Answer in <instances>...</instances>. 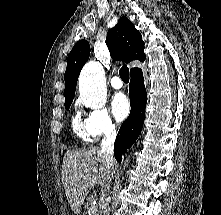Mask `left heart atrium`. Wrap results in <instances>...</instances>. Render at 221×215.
Wrapping results in <instances>:
<instances>
[{"label":"left heart atrium","instance_id":"1","mask_svg":"<svg viewBox=\"0 0 221 215\" xmlns=\"http://www.w3.org/2000/svg\"><path fill=\"white\" fill-rule=\"evenodd\" d=\"M112 112L119 121L124 120L130 112V104L124 93H117L112 100Z\"/></svg>","mask_w":221,"mask_h":215}]
</instances>
